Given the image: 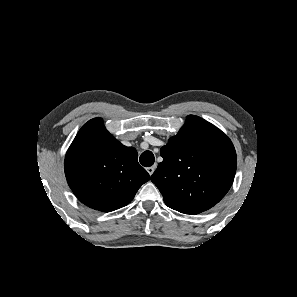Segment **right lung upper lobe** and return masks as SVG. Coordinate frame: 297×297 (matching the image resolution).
I'll return each mask as SVG.
<instances>
[{
	"label": "right lung upper lobe",
	"mask_w": 297,
	"mask_h": 297,
	"mask_svg": "<svg viewBox=\"0 0 297 297\" xmlns=\"http://www.w3.org/2000/svg\"><path fill=\"white\" fill-rule=\"evenodd\" d=\"M64 168L75 196L103 212L129 204L150 178L138 163L136 149L116 140L101 118L80 129L66 153Z\"/></svg>",
	"instance_id": "1"
}]
</instances>
